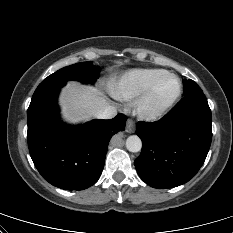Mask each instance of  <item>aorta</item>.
Instances as JSON below:
<instances>
[{
    "mask_svg": "<svg viewBox=\"0 0 233 233\" xmlns=\"http://www.w3.org/2000/svg\"><path fill=\"white\" fill-rule=\"evenodd\" d=\"M126 148L130 152H139L142 148V141L137 135L129 136L126 140Z\"/></svg>",
    "mask_w": 233,
    "mask_h": 233,
    "instance_id": "aorta-1",
    "label": "aorta"
}]
</instances>
